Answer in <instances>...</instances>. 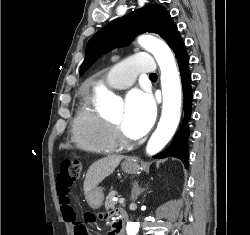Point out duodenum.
Instances as JSON below:
<instances>
[{
	"label": "duodenum",
	"mask_w": 250,
	"mask_h": 235,
	"mask_svg": "<svg viewBox=\"0 0 250 235\" xmlns=\"http://www.w3.org/2000/svg\"><path fill=\"white\" fill-rule=\"evenodd\" d=\"M127 220H128L127 214L123 211H119L117 214V219L111 228L110 235H123L124 226Z\"/></svg>",
	"instance_id": "410a0bca"
}]
</instances>
